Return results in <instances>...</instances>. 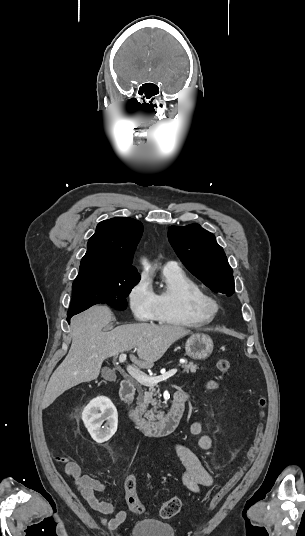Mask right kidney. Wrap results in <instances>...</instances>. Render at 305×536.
Returning <instances> with one entry per match:
<instances>
[{
	"label": "right kidney",
	"instance_id": "obj_1",
	"mask_svg": "<svg viewBox=\"0 0 305 536\" xmlns=\"http://www.w3.org/2000/svg\"><path fill=\"white\" fill-rule=\"evenodd\" d=\"M82 420L93 440L98 444L108 442L118 426L117 410L108 398H96L86 406ZM103 422H106L102 426Z\"/></svg>",
	"mask_w": 305,
	"mask_h": 536
}]
</instances>
